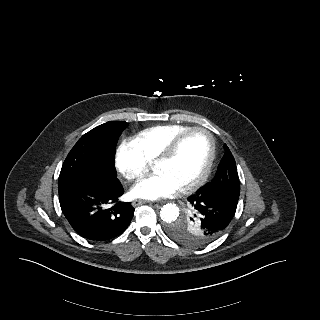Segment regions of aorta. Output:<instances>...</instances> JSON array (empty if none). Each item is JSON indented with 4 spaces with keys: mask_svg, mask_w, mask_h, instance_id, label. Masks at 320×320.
<instances>
[{
    "mask_svg": "<svg viewBox=\"0 0 320 320\" xmlns=\"http://www.w3.org/2000/svg\"><path fill=\"white\" fill-rule=\"evenodd\" d=\"M179 216V208L172 203H168L161 208L160 217L166 223L175 221Z\"/></svg>",
    "mask_w": 320,
    "mask_h": 320,
    "instance_id": "1",
    "label": "aorta"
}]
</instances>
